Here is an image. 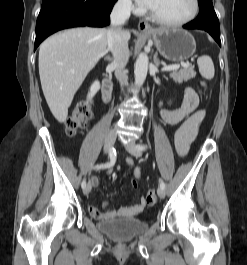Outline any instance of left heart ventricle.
<instances>
[{
	"mask_svg": "<svg viewBox=\"0 0 247 265\" xmlns=\"http://www.w3.org/2000/svg\"><path fill=\"white\" fill-rule=\"evenodd\" d=\"M150 9L167 20H181L193 10V0H154Z\"/></svg>",
	"mask_w": 247,
	"mask_h": 265,
	"instance_id": "b2bd125f",
	"label": "left heart ventricle"
}]
</instances>
